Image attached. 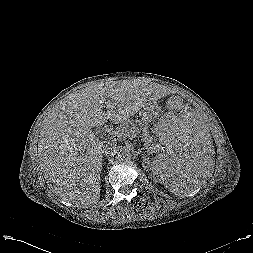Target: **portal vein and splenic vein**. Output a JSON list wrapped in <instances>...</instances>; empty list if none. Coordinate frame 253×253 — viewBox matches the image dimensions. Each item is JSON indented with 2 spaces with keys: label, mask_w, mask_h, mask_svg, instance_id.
Returning a JSON list of instances; mask_svg holds the SVG:
<instances>
[{
  "label": "portal vein and splenic vein",
  "mask_w": 253,
  "mask_h": 253,
  "mask_svg": "<svg viewBox=\"0 0 253 253\" xmlns=\"http://www.w3.org/2000/svg\"><path fill=\"white\" fill-rule=\"evenodd\" d=\"M110 130H108V132H109ZM149 142L151 143L152 141L151 140H149Z\"/></svg>",
  "instance_id": "1"
}]
</instances>
